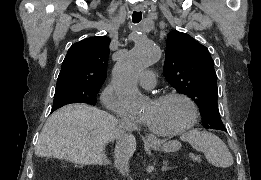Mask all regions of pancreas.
<instances>
[{"label": "pancreas", "mask_w": 261, "mask_h": 180, "mask_svg": "<svg viewBox=\"0 0 261 180\" xmlns=\"http://www.w3.org/2000/svg\"><path fill=\"white\" fill-rule=\"evenodd\" d=\"M194 164H199L200 163V160L198 162H193Z\"/></svg>", "instance_id": "obj_1"}]
</instances>
